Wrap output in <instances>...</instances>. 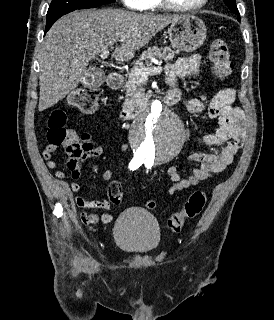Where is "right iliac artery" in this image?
<instances>
[{"mask_svg":"<svg viewBox=\"0 0 274 320\" xmlns=\"http://www.w3.org/2000/svg\"><path fill=\"white\" fill-rule=\"evenodd\" d=\"M142 163H143L142 160H140V159H135V158H134V159H132V161L130 162L129 167H130L131 170H135V169H137L138 167H140Z\"/></svg>","mask_w":274,"mask_h":320,"instance_id":"obj_1","label":"right iliac artery"}]
</instances>
